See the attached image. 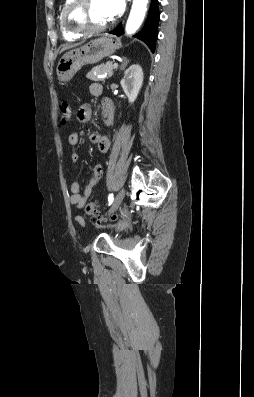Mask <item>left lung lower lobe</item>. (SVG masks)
<instances>
[{"label":"left lung lower lobe","mask_w":254,"mask_h":397,"mask_svg":"<svg viewBox=\"0 0 254 397\" xmlns=\"http://www.w3.org/2000/svg\"><path fill=\"white\" fill-rule=\"evenodd\" d=\"M158 21H159L158 0H152L144 27L136 35V37L144 41L149 46V48L153 53L155 51L156 39L158 34ZM110 33L115 34L117 36L122 35L124 33L122 24H119Z\"/></svg>","instance_id":"1"}]
</instances>
